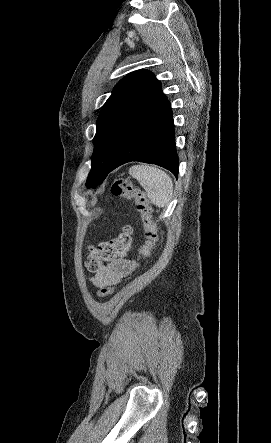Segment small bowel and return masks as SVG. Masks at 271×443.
Segmentation results:
<instances>
[{"mask_svg":"<svg viewBox=\"0 0 271 443\" xmlns=\"http://www.w3.org/2000/svg\"><path fill=\"white\" fill-rule=\"evenodd\" d=\"M137 263L133 259L116 258L102 267L90 280L97 287L117 284L122 278L135 271Z\"/></svg>","mask_w":271,"mask_h":443,"instance_id":"obj_1","label":"small bowel"}]
</instances>
